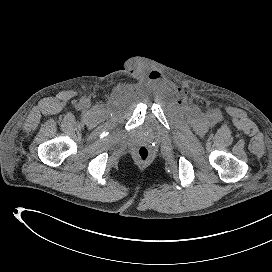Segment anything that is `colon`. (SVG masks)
Listing matches in <instances>:
<instances>
[{
  "mask_svg": "<svg viewBox=\"0 0 272 272\" xmlns=\"http://www.w3.org/2000/svg\"><path fill=\"white\" fill-rule=\"evenodd\" d=\"M136 157L140 162H147L150 158V150L145 146H141L136 150Z\"/></svg>",
  "mask_w": 272,
  "mask_h": 272,
  "instance_id": "1",
  "label": "colon"
}]
</instances>
